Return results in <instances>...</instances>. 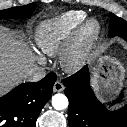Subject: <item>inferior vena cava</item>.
I'll list each match as a JSON object with an SVG mask.
<instances>
[{
  "mask_svg": "<svg viewBox=\"0 0 127 127\" xmlns=\"http://www.w3.org/2000/svg\"><path fill=\"white\" fill-rule=\"evenodd\" d=\"M46 76V70L43 67L34 66L27 72L26 77L30 82H37Z\"/></svg>",
  "mask_w": 127,
  "mask_h": 127,
  "instance_id": "inferior-vena-cava-1",
  "label": "inferior vena cava"
}]
</instances>
